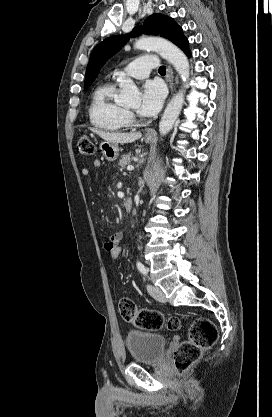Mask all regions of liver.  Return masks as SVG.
I'll use <instances>...</instances> for the list:
<instances>
[{
	"label": "liver",
	"mask_w": 272,
	"mask_h": 417,
	"mask_svg": "<svg viewBox=\"0 0 272 417\" xmlns=\"http://www.w3.org/2000/svg\"><path fill=\"white\" fill-rule=\"evenodd\" d=\"M90 130L97 135H99L105 141L113 142V143H132L138 140L142 135L140 132L135 133H110L99 130L97 128H90Z\"/></svg>",
	"instance_id": "6515ba94"
}]
</instances>
